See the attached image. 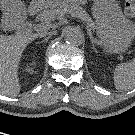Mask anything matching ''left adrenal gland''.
<instances>
[{
    "mask_svg": "<svg viewBox=\"0 0 135 135\" xmlns=\"http://www.w3.org/2000/svg\"><path fill=\"white\" fill-rule=\"evenodd\" d=\"M90 39H91V43H92V48H93L94 50H96L95 45H94V39H93L92 37H90Z\"/></svg>",
    "mask_w": 135,
    "mask_h": 135,
    "instance_id": "1",
    "label": "left adrenal gland"
}]
</instances>
